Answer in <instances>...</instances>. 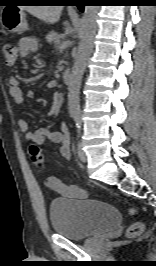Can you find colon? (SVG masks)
<instances>
[{"label": "colon", "mask_w": 156, "mask_h": 266, "mask_svg": "<svg viewBox=\"0 0 156 266\" xmlns=\"http://www.w3.org/2000/svg\"><path fill=\"white\" fill-rule=\"evenodd\" d=\"M3 56L6 63L12 65L18 57V48L12 43L5 44L3 47ZM29 153L34 166L42 170L44 167V157L40 148L35 144H30ZM130 213L135 214L136 210L132 208L130 209ZM143 229L144 225L142 222H135L128 227L126 235L129 238L137 237L142 233Z\"/></svg>", "instance_id": "obj_1"}]
</instances>
